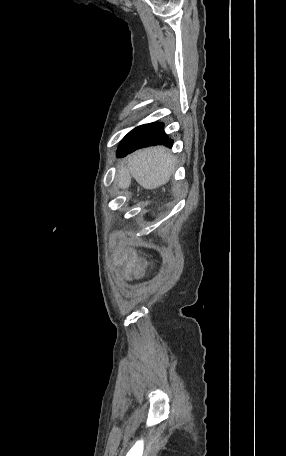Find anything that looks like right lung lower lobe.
I'll return each instance as SVG.
<instances>
[{
    "label": "right lung lower lobe",
    "mask_w": 286,
    "mask_h": 456,
    "mask_svg": "<svg viewBox=\"0 0 286 456\" xmlns=\"http://www.w3.org/2000/svg\"><path fill=\"white\" fill-rule=\"evenodd\" d=\"M163 123H149L136 127L129 132L117 150V157H124L134 150L156 144L172 146L173 141L163 130Z\"/></svg>",
    "instance_id": "obj_1"
}]
</instances>
